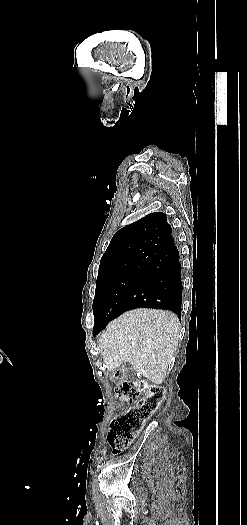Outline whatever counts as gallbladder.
Listing matches in <instances>:
<instances>
[{
    "mask_svg": "<svg viewBox=\"0 0 247 525\" xmlns=\"http://www.w3.org/2000/svg\"><path fill=\"white\" fill-rule=\"evenodd\" d=\"M135 369L132 367V364H127V369L125 371L126 375H133Z\"/></svg>",
    "mask_w": 247,
    "mask_h": 525,
    "instance_id": "1",
    "label": "gallbladder"
}]
</instances>
